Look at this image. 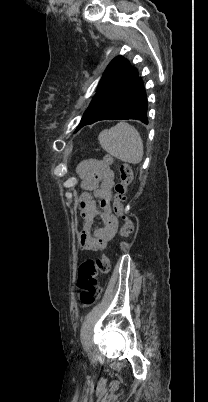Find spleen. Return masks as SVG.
Masks as SVG:
<instances>
[{
	"mask_svg": "<svg viewBox=\"0 0 208 402\" xmlns=\"http://www.w3.org/2000/svg\"><path fill=\"white\" fill-rule=\"evenodd\" d=\"M98 140L105 152L121 162L139 164L143 158V140L138 130L126 122H120L110 130H102Z\"/></svg>",
	"mask_w": 208,
	"mask_h": 402,
	"instance_id": "1",
	"label": "spleen"
}]
</instances>
